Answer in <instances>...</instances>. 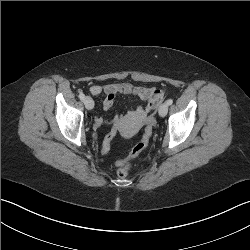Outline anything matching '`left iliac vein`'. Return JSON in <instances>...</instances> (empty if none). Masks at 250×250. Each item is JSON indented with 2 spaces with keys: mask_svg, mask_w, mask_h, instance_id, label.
<instances>
[{
  "mask_svg": "<svg viewBox=\"0 0 250 250\" xmlns=\"http://www.w3.org/2000/svg\"><path fill=\"white\" fill-rule=\"evenodd\" d=\"M168 112V104L167 103H163L160 107H159V115L161 117H164Z\"/></svg>",
  "mask_w": 250,
  "mask_h": 250,
  "instance_id": "4c4485c4",
  "label": "left iliac vein"
}]
</instances>
